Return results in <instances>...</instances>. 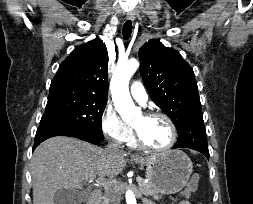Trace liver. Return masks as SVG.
<instances>
[{"mask_svg": "<svg viewBox=\"0 0 253 204\" xmlns=\"http://www.w3.org/2000/svg\"><path fill=\"white\" fill-rule=\"evenodd\" d=\"M123 151H110L90 143L56 136L41 143L31 161L33 204H54L61 189H81L88 179H114L127 160ZM108 182V181H107Z\"/></svg>", "mask_w": 253, "mask_h": 204, "instance_id": "liver-1", "label": "liver"}]
</instances>
